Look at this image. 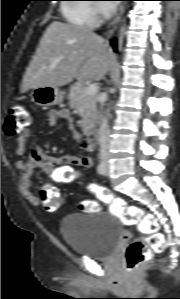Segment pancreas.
Instances as JSON below:
<instances>
[{
    "instance_id": "pancreas-1",
    "label": "pancreas",
    "mask_w": 180,
    "mask_h": 299,
    "mask_svg": "<svg viewBox=\"0 0 180 299\" xmlns=\"http://www.w3.org/2000/svg\"><path fill=\"white\" fill-rule=\"evenodd\" d=\"M69 105L72 109H82V120L80 121L81 127L88 129L97 116L95 95L84 94V86L82 83L77 82L70 87L69 90Z\"/></svg>"
}]
</instances>
